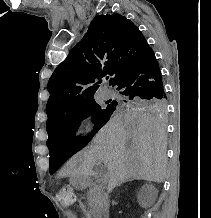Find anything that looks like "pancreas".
I'll list each match as a JSON object with an SVG mask.
<instances>
[{"instance_id":"pancreas-1","label":"pancreas","mask_w":211,"mask_h":218,"mask_svg":"<svg viewBox=\"0 0 211 218\" xmlns=\"http://www.w3.org/2000/svg\"><path fill=\"white\" fill-rule=\"evenodd\" d=\"M88 198V208L93 214V216H97L100 214L103 206L106 204L105 196L101 190V186H92V190H89L87 194Z\"/></svg>"}]
</instances>
